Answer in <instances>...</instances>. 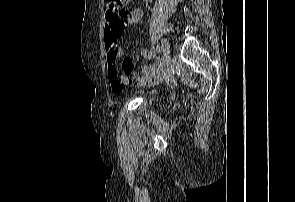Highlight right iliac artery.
Wrapping results in <instances>:
<instances>
[{
	"label": "right iliac artery",
	"instance_id": "obj_1",
	"mask_svg": "<svg viewBox=\"0 0 295 202\" xmlns=\"http://www.w3.org/2000/svg\"><path fill=\"white\" fill-rule=\"evenodd\" d=\"M160 51H161V47L160 46H157L156 47V52L159 53Z\"/></svg>",
	"mask_w": 295,
	"mask_h": 202
}]
</instances>
